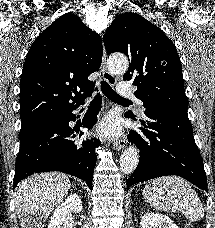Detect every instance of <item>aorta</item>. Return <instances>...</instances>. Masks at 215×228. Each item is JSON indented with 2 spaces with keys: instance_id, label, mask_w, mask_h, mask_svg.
<instances>
[{
  "instance_id": "762f6f07",
  "label": "aorta",
  "mask_w": 215,
  "mask_h": 228,
  "mask_svg": "<svg viewBox=\"0 0 215 228\" xmlns=\"http://www.w3.org/2000/svg\"><path fill=\"white\" fill-rule=\"evenodd\" d=\"M110 68H113L115 72H126L129 68V62L126 56H114L110 58ZM139 150L135 146H129L124 150L120 158V170L123 174H132L136 170L139 162Z\"/></svg>"
}]
</instances>
